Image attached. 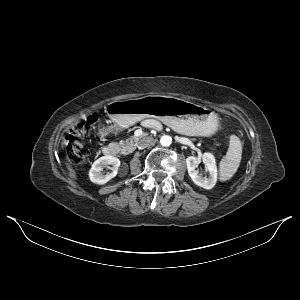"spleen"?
I'll return each mask as SVG.
<instances>
[{"mask_svg":"<svg viewBox=\"0 0 300 300\" xmlns=\"http://www.w3.org/2000/svg\"><path fill=\"white\" fill-rule=\"evenodd\" d=\"M242 156V144L236 135L230 136L229 148L219 164V179L227 181L236 173Z\"/></svg>","mask_w":300,"mask_h":300,"instance_id":"spleen-1","label":"spleen"}]
</instances>
